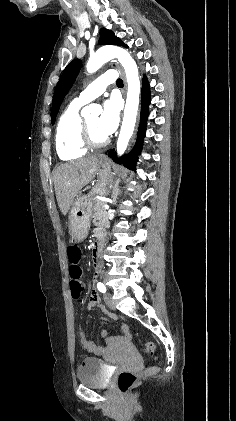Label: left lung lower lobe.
Masks as SVG:
<instances>
[{
	"mask_svg": "<svg viewBox=\"0 0 236 421\" xmlns=\"http://www.w3.org/2000/svg\"><path fill=\"white\" fill-rule=\"evenodd\" d=\"M150 103V92L147 79L144 77L143 79V87H142V96H141V116H140V125L137 134V142L132 151L123 156L118 162L124 164V166L135 170V165L138 160L137 155L140 154L143 144V138L145 137L146 132V124H147V117H148V105ZM108 156L111 157L114 161L116 160V152L114 150H110Z\"/></svg>",
	"mask_w": 236,
	"mask_h": 421,
	"instance_id": "1",
	"label": "left lung lower lobe"
}]
</instances>
